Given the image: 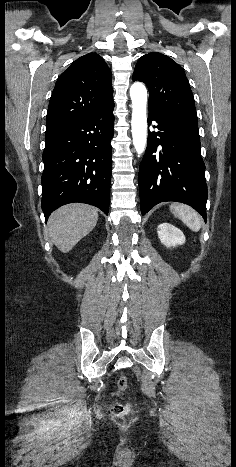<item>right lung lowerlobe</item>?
I'll list each match as a JSON object with an SVG mask.
<instances>
[{
    "label": "right lung lower lobe",
    "mask_w": 236,
    "mask_h": 467,
    "mask_svg": "<svg viewBox=\"0 0 236 467\" xmlns=\"http://www.w3.org/2000/svg\"><path fill=\"white\" fill-rule=\"evenodd\" d=\"M114 103L72 124L46 131L42 210L46 220L67 203L109 212Z\"/></svg>",
    "instance_id": "obj_1"
}]
</instances>
